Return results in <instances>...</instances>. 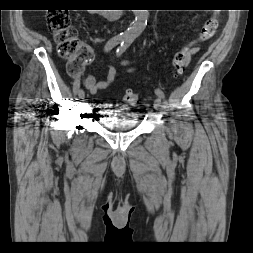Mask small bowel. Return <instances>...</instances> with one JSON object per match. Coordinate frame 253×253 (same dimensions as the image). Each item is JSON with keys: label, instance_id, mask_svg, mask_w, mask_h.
Here are the masks:
<instances>
[{"label": "small bowel", "instance_id": "obj_1", "mask_svg": "<svg viewBox=\"0 0 253 253\" xmlns=\"http://www.w3.org/2000/svg\"><path fill=\"white\" fill-rule=\"evenodd\" d=\"M122 65L126 66L124 72H133L136 69L137 62L125 60L122 62ZM105 70L107 74L105 80H99L95 74H90L84 79L83 85L90 92V94L96 95L100 90L109 88L120 75V72L117 71L113 66L107 65Z\"/></svg>", "mask_w": 253, "mask_h": 253}]
</instances>
